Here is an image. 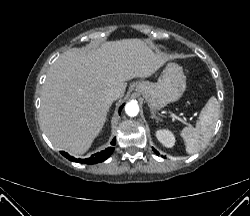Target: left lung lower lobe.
Segmentation results:
<instances>
[{
	"mask_svg": "<svg viewBox=\"0 0 250 216\" xmlns=\"http://www.w3.org/2000/svg\"><path fill=\"white\" fill-rule=\"evenodd\" d=\"M153 151L157 154V155H159V153L153 148Z\"/></svg>",
	"mask_w": 250,
	"mask_h": 216,
	"instance_id": "1",
	"label": "left lung lower lobe"
}]
</instances>
